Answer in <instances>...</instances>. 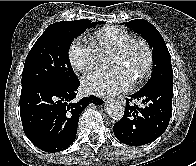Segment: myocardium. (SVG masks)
Instances as JSON below:
<instances>
[{
    "label": "myocardium",
    "instance_id": "f54148a6",
    "mask_svg": "<svg viewBox=\"0 0 196 166\" xmlns=\"http://www.w3.org/2000/svg\"><path fill=\"white\" fill-rule=\"evenodd\" d=\"M141 46L146 52V64L141 73L136 77V83L140 84L150 77L154 64V54L150 44L143 38L135 37L129 40L122 48L115 52L121 58H127L131 55L136 46Z\"/></svg>",
    "mask_w": 196,
    "mask_h": 166
}]
</instances>
